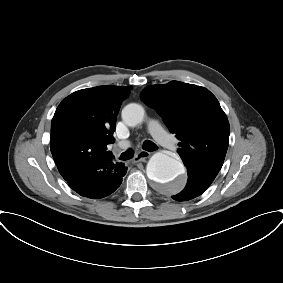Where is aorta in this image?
Masks as SVG:
<instances>
[{
  "label": "aorta",
  "mask_w": 283,
  "mask_h": 283,
  "mask_svg": "<svg viewBox=\"0 0 283 283\" xmlns=\"http://www.w3.org/2000/svg\"><path fill=\"white\" fill-rule=\"evenodd\" d=\"M144 108L136 103L126 105L122 110V119L128 126H136L143 121ZM147 176L166 192L178 193L185 186L184 166L176 158L157 152L150 158Z\"/></svg>",
  "instance_id": "obj_1"
}]
</instances>
